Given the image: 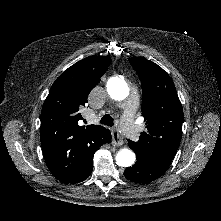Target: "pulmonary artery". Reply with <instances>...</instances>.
<instances>
[{
    "mask_svg": "<svg viewBox=\"0 0 221 221\" xmlns=\"http://www.w3.org/2000/svg\"><path fill=\"white\" fill-rule=\"evenodd\" d=\"M125 107L126 110L123 116L121 129L128 137H133L136 133V127L134 124L135 104L133 101L129 100L125 103Z\"/></svg>",
    "mask_w": 221,
    "mask_h": 221,
    "instance_id": "1",
    "label": "pulmonary artery"
}]
</instances>
